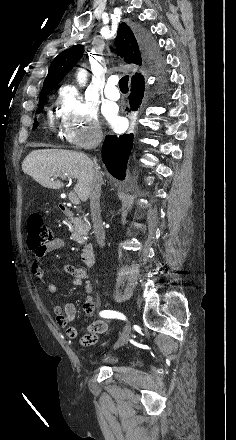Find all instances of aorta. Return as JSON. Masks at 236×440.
Here are the masks:
<instances>
[{
	"instance_id": "obj_1",
	"label": "aorta",
	"mask_w": 236,
	"mask_h": 440,
	"mask_svg": "<svg viewBox=\"0 0 236 440\" xmlns=\"http://www.w3.org/2000/svg\"><path fill=\"white\" fill-rule=\"evenodd\" d=\"M77 80H78V82L81 84V83H85V80H86V76H85V74H83V73H78V75H77Z\"/></svg>"
}]
</instances>
